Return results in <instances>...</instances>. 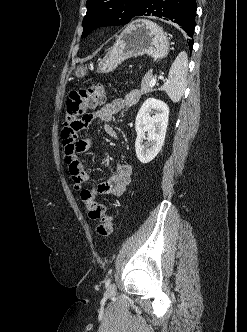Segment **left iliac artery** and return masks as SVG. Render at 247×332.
Returning a JSON list of instances; mask_svg holds the SVG:
<instances>
[{
	"label": "left iliac artery",
	"instance_id": "44dca946",
	"mask_svg": "<svg viewBox=\"0 0 247 332\" xmlns=\"http://www.w3.org/2000/svg\"><path fill=\"white\" fill-rule=\"evenodd\" d=\"M110 281L111 279L109 278L107 281H106V286H108L110 284Z\"/></svg>",
	"mask_w": 247,
	"mask_h": 332
}]
</instances>
